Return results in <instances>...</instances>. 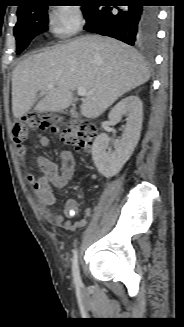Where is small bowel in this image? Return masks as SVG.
Segmentation results:
<instances>
[{"mask_svg":"<svg viewBox=\"0 0 184 327\" xmlns=\"http://www.w3.org/2000/svg\"><path fill=\"white\" fill-rule=\"evenodd\" d=\"M41 147H47L49 140L46 136H41L39 139ZM61 162L56 164L46 158H39V167L43 175L37 176L29 166V171L26 174V180L33 186V189L41 202L43 215L52 223L63 227L67 231H75L86 225V216L90 214V210L85 212V217L75 221L66 220L64 216L70 218L78 212V206L75 200L70 199L64 205V216L54 212L56 197L52 187L64 188L72 179L75 173V159L70 151L64 150L60 155Z\"/></svg>","mask_w":184,"mask_h":327,"instance_id":"small-bowel-1","label":"small bowel"}]
</instances>
